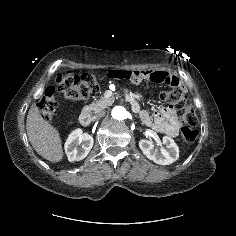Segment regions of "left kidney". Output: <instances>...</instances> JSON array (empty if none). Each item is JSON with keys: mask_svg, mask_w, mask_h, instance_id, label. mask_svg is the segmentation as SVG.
<instances>
[{"mask_svg": "<svg viewBox=\"0 0 236 236\" xmlns=\"http://www.w3.org/2000/svg\"><path fill=\"white\" fill-rule=\"evenodd\" d=\"M162 141L166 149L161 148L160 151L155 149L153 143L146 139L139 141V147L143 154L153 162L161 165H170L179 158V148L175 141L168 136H164Z\"/></svg>", "mask_w": 236, "mask_h": 236, "instance_id": "1", "label": "left kidney"}]
</instances>
